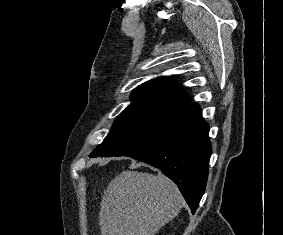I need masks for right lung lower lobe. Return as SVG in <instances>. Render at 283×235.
Listing matches in <instances>:
<instances>
[{"mask_svg": "<svg viewBox=\"0 0 283 235\" xmlns=\"http://www.w3.org/2000/svg\"><path fill=\"white\" fill-rule=\"evenodd\" d=\"M209 127L198 104L165 135L125 156L158 167L179 187L194 214L204 194L211 156Z\"/></svg>", "mask_w": 283, "mask_h": 235, "instance_id": "98d812e1", "label": "right lung lower lobe"}]
</instances>
